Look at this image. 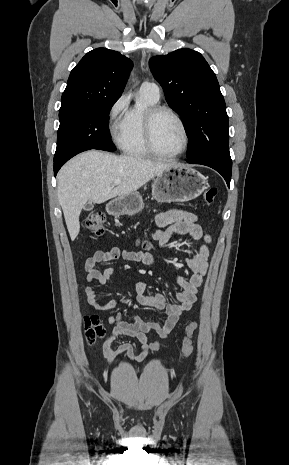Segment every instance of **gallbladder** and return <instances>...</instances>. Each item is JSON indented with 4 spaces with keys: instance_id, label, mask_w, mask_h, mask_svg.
Returning a JSON list of instances; mask_svg holds the SVG:
<instances>
[{
    "instance_id": "1",
    "label": "gallbladder",
    "mask_w": 289,
    "mask_h": 465,
    "mask_svg": "<svg viewBox=\"0 0 289 465\" xmlns=\"http://www.w3.org/2000/svg\"><path fill=\"white\" fill-rule=\"evenodd\" d=\"M84 209L87 210V211L93 209V204H92V202L86 203L85 206H84Z\"/></svg>"
}]
</instances>
